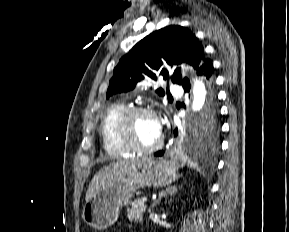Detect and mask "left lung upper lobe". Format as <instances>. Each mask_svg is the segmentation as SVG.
I'll list each match as a JSON object with an SVG mask.
<instances>
[{
    "label": "left lung upper lobe",
    "mask_w": 289,
    "mask_h": 232,
    "mask_svg": "<svg viewBox=\"0 0 289 232\" xmlns=\"http://www.w3.org/2000/svg\"><path fill=\"white\" fill-rule=\"evenodd\" d=\"M204 58V48L196 36L185 27L171 25L156 30L139 41L123 56L113 71L106 97L128 92L145 77L156 80L162 76L169 80V71L164 62L173 65L187 63L198 69ZM173 83L184 85L189 80L182 78L177 68L171 76ZM164 96L163 89L156 91ZM219 123L212 112L205 120L200 121L188 136L184 137L185 145L195 147L203 152H213L218 147Z\"/></svg>",
    "instance_id": "left-lung-upper-lobe-1"
}]
</instances>
